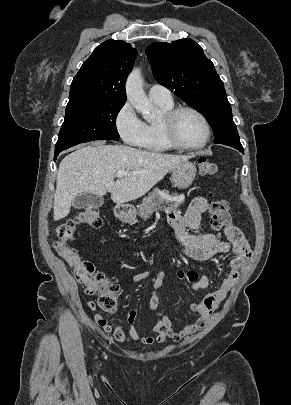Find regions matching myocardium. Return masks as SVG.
I'll list each match as a JSON object with an SVG mask.
<instances>
[{"label": "myocardium", "instance_id": "1", "mask_svg": "<svg viewBox=\"0 0 291 405\" xmlns=\"http://www.w3.org/2000/svg\"><path fill=\"white\" fill-rule=\"evenodd\" d=\"M184 112H191L195 114L200 118V120L203 122L205 126L206 138L199 145L196 146L186 145L183 142H181L180 139L178 138L177 121L179 116ZM162 129L166 140L172 147L185 151H197L205 148L209 144L212 137V128L207 117L201 111L191 106H178L168 111L162 117Z\"/></svg>", "mask_w": 291, "mask_h": 405}]
</instances>
